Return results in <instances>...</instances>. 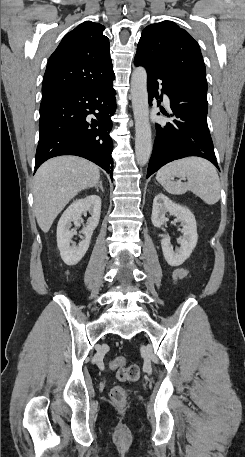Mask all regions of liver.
<instances>
[{
    "label": "liver",
    "instance_id": "obj_1",
    "mask_svg": "<svg viewBox=\"0 0 245 457\" xmlns=\"http://www.w3.org/2000/svg\"><path fill=\"white\" fill-rule=\"evenodd\" d=\"M99 166L80 156H55L39 166L33 186L34 210L43 233L79 190L96 186Z\"/></svg>",
    "mask_w": 245,
    "mask_h": 457
}]
</instances>
